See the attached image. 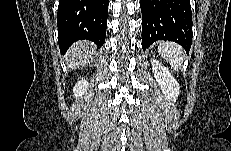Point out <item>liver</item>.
Instances as JSON below:
<instances>
[{"instance_id":"6515ba94","label":"liver","mask_w":231,"mask_h":151,"mask_svg":"<svg viewBox=\"0 0 231 151\" xmlns=\"http://www.w3.org/2000/svg\"><path fill=\"white\" fill-rule=\"evenodd\" d=\"M95 45L92 42L81 41L71 47L68 54V67L79 68L93 59Z\"/></svg>"}]
</instances>
